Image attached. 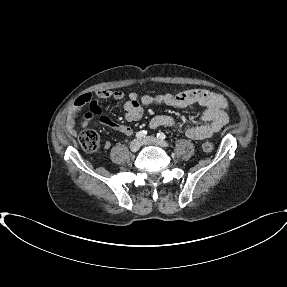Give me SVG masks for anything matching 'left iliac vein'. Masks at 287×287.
Segmentation results:
<instances>
[{
  "instance_id": "4c4485c4",
  "label": "left iliac vein",
  "mask_w": 287,
  "mask_h": 287,
  "mask_svg": "<svg viewBox=\"0 0 287 287\" xmlns=\"http://www.w3.org/2000/svg\"><path fill=\"white\" fill-rule=\"evenodd\" d=\"M141 143L146 145V144H154V145H158L160 147H168V143L160 140L154 136H148L144 139L141 140Z\"/></svg>"
}]
</instances>
